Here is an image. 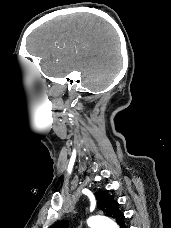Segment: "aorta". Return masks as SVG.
Listing matches in <instances>:
<instances>
[{"mask_svg": "<svg viewBox=\"0 0 171 228\" xmlns=\"http://www.w3.org/2000/svg\"><path fill=\"white\" fill-rule=\"evenodd\" d=\"M90 228H119L111 219L104 216H93L87 221Z\"/></svg>", "mask_w": 171, "mask_h": 228, "instance_id": "762f6f07", "label": "aorta"}]
</instances>
